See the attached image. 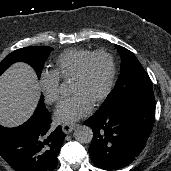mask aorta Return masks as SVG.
Listing matches in <instances>:
<instances>
[{
  "label": "aorta",
  "instance_id": "762f6f07",
  "mask_svg": "<svg viewBox=\"0 0 171 171\" xmlns=\"http://www.w3.org/2000/svg\"><path fill=\"white\" fill-rule=\"evenodd\" d=\"M61 90L65 91V85H61ZM74 137L77 142L81 144H87L92 141L93 131L91 127L86 125L78 126L74 131Z\"/></svg>",
  "mask_w": 171,
  "mask_h": 171
}]
</instances>
